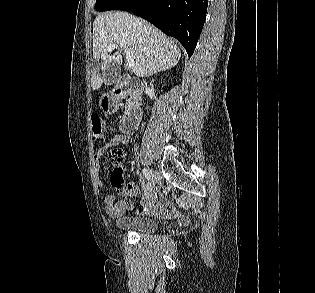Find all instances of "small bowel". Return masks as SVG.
<instances>
[{"instance_id":"c3829d8e","label":"small bowel","mask_w":315,"mask_h":293,"mask_svg":"<svg viewBox=\"0 0 315 293\" xmlns=\"http://www.w3.org/2000/svg\"><path fill=\"white\" fill-rule=\"evenodd\" d=\"M129 140V136L126 134H120L113 136L107 144L102 146L96 157L99 158L109 147L118 145V144H126ZM98 171V166L96 167ZM96 186L99 191L103 189L102 182L97 179ZM129 188H133L134 190H125L124 196L125 200L117 201L115 196L112 194H106L102 197L103 202L106 206V212L109 215H118L124 212L132 202H136L138 187L134 184L127 185ZM148 213L152 216H156L162 219H170L173 216L178 215L175 206L169 202L161 193L153 192L150 199L148 200ZM182 222H185L184 217H180Z\"/></svg>"}]
</instances>
